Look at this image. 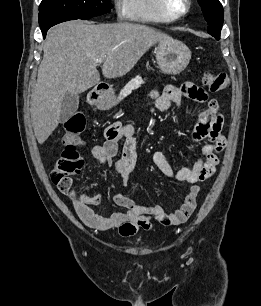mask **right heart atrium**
Listing matches in <instances>:
<instances>
[{
	"instance_id": "d8ad5b80",
	"label": "right heart atrium",
	"mask_w": 261,
	"mask_h": 306,
	"mask_svg": "<svg viewBox=\"0 0 261 306\" xmlns=\"http://www.w3.org/2000/svg\"><path fill=\"white\" fill-rule=\"evenodd\" d=\"M128 0H112L113 9L118 19L128 17Z\"/></svg>"
}]
</instances>
